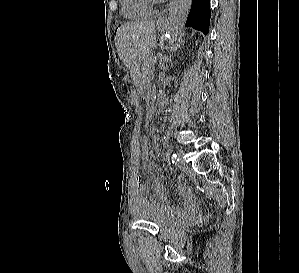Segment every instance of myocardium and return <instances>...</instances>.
Returning <instances> with one entry per match:
<instances>
[{"mask_svg": "<svg viewBox=\"0 0 299 273\" xmlns=\"http://www.w3.org/2000/svg\"><path fill=\"white\" fill-rule=\"evenodd\" d=\"M149 7H156L162 0H145Z\"/></svg>", "mask_w": 299, "mask_h": 273, "instance_id": "myocardium-1", "label": "myocardium"}]
</instances>
